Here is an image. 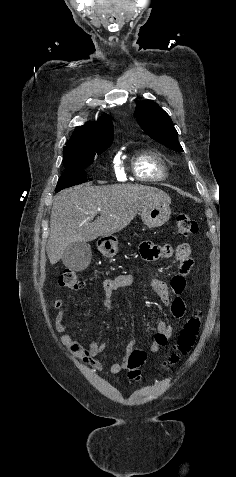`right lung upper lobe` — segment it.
<instances>
[{"instance_id": "obj_1", "label": "right lung upper lobe", "mask_w": 236, "mask_h": 477, "mask_svg": "<svg viewBox=\"0 0 236 477\" xmlns=\"http://www.w3.org/2000/svg\"><path fill=\"white\" fill-rule=\"evenodd\" d=\"M113 141V126L109 115H102L96 122H87L75 129L64 147V159L88 154L110 147Z\"/></svg>"}]
</instances>
